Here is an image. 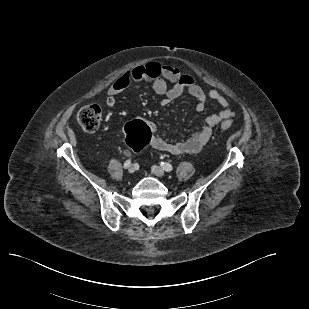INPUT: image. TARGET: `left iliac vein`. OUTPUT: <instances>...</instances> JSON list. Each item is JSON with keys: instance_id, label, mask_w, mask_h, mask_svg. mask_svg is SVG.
<instances>
[{"instance_id": "left-iliac-vein-1", "label": "left iliac vein", "mask_w": 309, "mask_h": 309, "mask_svg": "<svg viewBox=\"0 0 309 309\" xmlns=\"http://www.w3.org/2000/svg\"><path fill=\"white\" fill-rule=\"evenodd\" d=\"M151 170L152 173L158 177H163L165 175V171L159 166L154 165L152 166Z\"/></svg>"}]
</instances>
